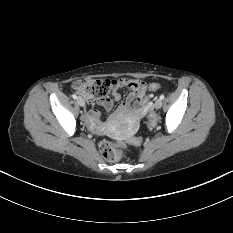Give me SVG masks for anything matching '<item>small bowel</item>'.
Segmentation results:
<instances>
[{
  "instance_id": "obj_1",
  "label": "small bowel",
  "mask_w": 233,
  "mask_h": 233,
  "mask_svg": "<svg viewBox=\"0 0 233 233\" xmlns=\"http://www.w3.org/2000/svg\"><path fill=\"white\" fill-rule=\"evenodd\" d=\"M126 86L131 89V92L126 100L118 107L117 114L119 116L127 114L130 121L134 123L146 114L142 107V101L147 87L144 81L127 78L113 80L111 81V96L98 100V104L105 110L111 109L113 103L121 99V94L118 90ZM86 120L93 131H103L104 128L100 122V111L98 109H91L87 114Z\"/></svg>"
}]
</instances>
